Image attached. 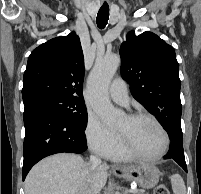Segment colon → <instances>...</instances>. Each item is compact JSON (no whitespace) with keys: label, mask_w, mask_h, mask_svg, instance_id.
Here are the masks:
<instances>
[{"label":"colon","mask_w":201,"mask_h":194,"mask_svg":"<svg viewBox=\"0 0 201 194\" xmlns=\"http://www.w3.org/2000/svg\"><path fill=\"white\" fill-rule=\"evenodd\" d=\"M154 194H170V192L165 185H160L155 189Z\"/></svg>","instance_id":"1"}]
</instances>
